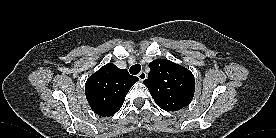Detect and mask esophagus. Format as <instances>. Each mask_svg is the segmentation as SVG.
<instances>
[{
  "label": "esophagus",
  "instance_id": "1",
  "mask_svg": "<svg viewBox=\"0 0 276 138\" xmlns=\"http://www.w3.org/2000/svg\"><path fill=\"white\" fill-rule=\"evenodd\" d=\"M138 78L140 81H143L147 78V74L144 72V71H141L139 74H138Z\"/></svg>",
  "mask_w": 276,
  "mask_h": 138
}]
</instances>
